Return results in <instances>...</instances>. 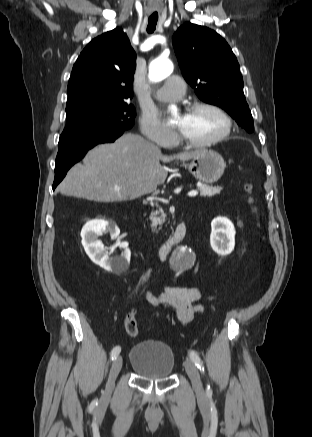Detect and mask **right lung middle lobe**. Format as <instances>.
<instances>
[{"instance_id": "obj_1", "label": "right lung middle lobe", "mask_w": 312, "mask_h": 437, "mask_svg": "<svg viewBox=\"0 0 312 437\" xmlns=\"http://www.w3.org/2000/svg\"><path fill=\"white\" fill-rule=\"evenodd\" d=\"M66 115L59 150L129 130L134 125L136 112L127 102H82L66 107Z\"/></svg>"}]
</instances>
